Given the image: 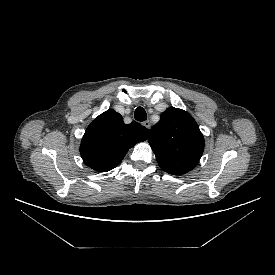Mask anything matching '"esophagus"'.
<instances>
[{
	"mask_svg": "<svg viewBox=\"0 0 275 275\" xmlns=\"http://www.w3.org/2000/svg\"><path fill=\"white\" fill-rule=\"evenodd\" d=\"M142 125L144 126V127H146L147 129H150V127H151V124H150V122L147 120V121H144L143 123H142Z\"/></svg>",
	"mask_w": 275,
	"mask_h": 275,
	"instance_id": "1",
	"label": "esophagus"
}]
</instances>
